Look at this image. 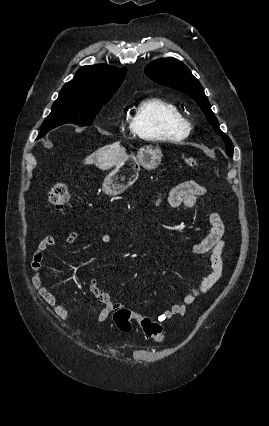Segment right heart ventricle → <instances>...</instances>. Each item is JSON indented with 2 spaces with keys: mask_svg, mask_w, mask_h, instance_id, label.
Segmentation results:
<instances>
[{
  "mask_svg": "<svg viewBox=\"0 0 269 426\" xmlns=\"http://www.w3.org/2000/svg\"><path fill=\"white\" fill-rule=\"evenodd\" d=\"M131 130L147 141H179L188 136V127L180 108L160 97L139 102L130 119Z\"/></svg>",
  "mask_w": 269,
  "mask_h": 426,
  "instance_id": "e07e8e85",
  "label": "right heart ventricle"
}]
</instances>
